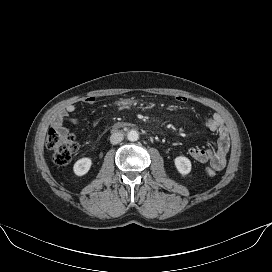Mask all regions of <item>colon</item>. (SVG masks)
I'll return each mask as SVG.
<instances>
[{
	"label": "colon",
	"instance_id": "colon-1",
	"mask_svg": "<svg viewBox=\"0 0 272 272\" xmlns=\"http://www.w3.org/2000/svg\"><path fill=\"white\" fill-rule=\"evenodd\" d=\"M46 145L53 162L57 165L67 164L77 150V141L72 134H61L53 128L47 134ZM205 172L211 177L216 175L212 167L206 168Z\"/></svg>",
	"mask_w": 272,
	"mask_h": 272
}]
</instances>
